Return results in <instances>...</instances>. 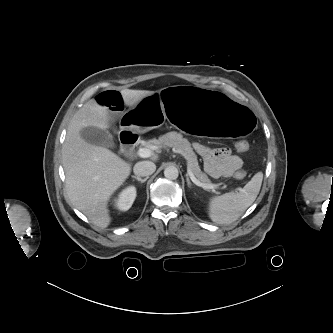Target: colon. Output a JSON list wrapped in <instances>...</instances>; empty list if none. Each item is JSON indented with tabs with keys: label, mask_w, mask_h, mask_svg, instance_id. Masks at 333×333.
I'll return each instance as SVG.
<instances>
[{
	"label": "colon",
	"mask_w": 333,
	"mask_h": 333,
	"mask_svg": "<svg viewBox=\"0 0 333 333\" xmlns=\"http://www.w3.org/2000/svg\"><path fill=\"white\" fill-rule=\"evenodd\" d=\"M236 148L239 152H245L248 150L249 148V144L247 141L245 140H241V141H238L237 144H236ZM235 178L238 179V180H242L246 177V173L245 171L243 170H238L236 173H235Z\"/></svg>",
	"instance_id": "obj_1"
}]
</instances>
